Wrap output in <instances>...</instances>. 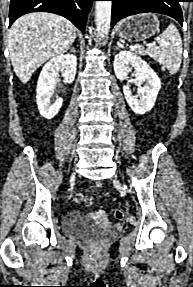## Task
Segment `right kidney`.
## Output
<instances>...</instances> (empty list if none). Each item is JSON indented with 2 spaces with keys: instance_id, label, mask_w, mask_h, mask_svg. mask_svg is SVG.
Here are the masks:
<instances>
[{
  "instance_id": "1",
  "label": "right kidney",
  "mask_w": 193,
  "mask_h": 287,
  "mask_svg": "<svg viewBox=\"0 0 193 287\" xmlns=\"http://www.w3.org/2000/svg\"><path fill=\"white\" fill-rule=\"evenodd\" d=\"M77 57L71 54H61L48 61L40 73L36 102L40 114L46 119H52L60 110L63 99L58 97L54 104L50 103V97L56 85V77L61 71L65 83H72L75 79Z\"/></svg>"
}]
</instances>
